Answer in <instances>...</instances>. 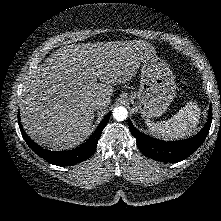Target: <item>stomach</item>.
Instances as JSON below:
<instances>
[{"label": "stomach", "mask_w": 221, "mask_h": 221, "mask_svg": "<svg viewBox=\"0 0 221 221\" xmlns=\"http://www.w3.org/2000/svg\"><path fill=\"white\" fill-rule=\"evenodd\" d=\"M175 77L169 65L155 54L145 57L140 69V87L129 101L143 118L161 116L176 95Z\"/></svg>", "instance_id": "obj_1"}]
</instances>
